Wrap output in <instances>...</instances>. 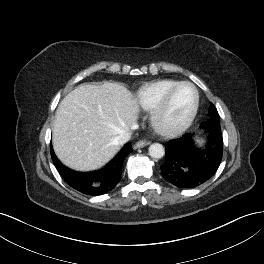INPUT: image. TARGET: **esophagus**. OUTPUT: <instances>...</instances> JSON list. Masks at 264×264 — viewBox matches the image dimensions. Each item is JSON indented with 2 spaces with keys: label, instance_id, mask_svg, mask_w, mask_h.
Returning <instances> with one entry per match:
<instances>
[{
  "label": "esophagus",
  "instance_id": "esophagus-1",
  "mask_svg": "<svg viewBox=\"0 0 264 264\" xmlns=\"http://www.w3.org/2000/svg\"><path fill=\"white\" fill-rule=\"evenodd\" d=\"M150 142L146 141V140H139L138 142L135 143L134 145V149H138V148H143L147 145H149Z\"/></svg>",
  "mask_w": 264,
  "mask_h": 264
}]
</instances>
